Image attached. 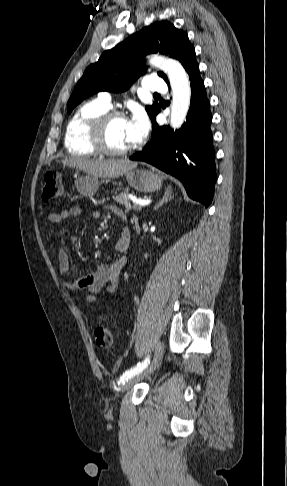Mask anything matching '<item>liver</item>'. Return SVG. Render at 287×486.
Returning a JSON list of instances; mask_svg holds the SVG:
<instances>
[{"instance_id":"liver-1","label":"liver","mask_w":287,"mask_h":486,"mask_svg":"<svg viewBox=\"0 0 287 486\" xmlns=\"http://www.w3.org/2000/svg\"><path fill=\"white\" fill-rule=\"evenodd\" d=\"M62 163L97 178H116L137 167V162L128 159L92 160L71 157L63 159Z\"/></svg>"}]
</instances>
